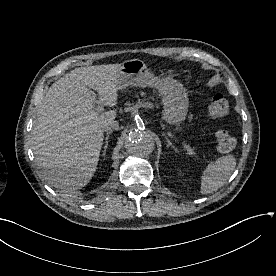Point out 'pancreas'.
<instances>
[{"label": "pancreas", "instance_id": "1", "mask_svg": "<svg viewBox=\"0 0 276 276\" xmlns=\"http://www.w3.org/2000/svg\"><path fill=\"white\" fill-rule=\"evenodd\" d=\"M144 95H145V93L142 92L141 96H144ZM150 107L153 108L154 106L152 104H150ZM156 107H158V105H156Z\"/></svg>", "mask_w": 276, "mask_h": 276}]
</instances>
